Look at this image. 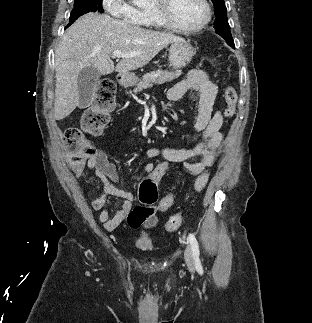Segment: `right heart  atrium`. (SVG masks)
Here are the masks:
<instances>
[{
  "instance_id": "1",
  "label": "right heart atrium",
  "mask_w": 312,
  "mask_h": 323,
  "mask_svg": "<svg viewBox=\"0 0 312 323\" xmlns=\"http://www.w3.org/2000/svg\"><path fill=\"white\" fill-rule=\"evenodd\" d=\"M107 13H114V17H122L123 22H138L142 11L131 6L129 0H103Z\"/></svg>"
}]
</instances>
